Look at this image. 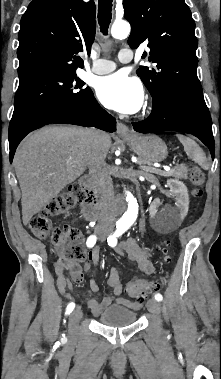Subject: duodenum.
I'll use <instances>...</instances> for the list:
<instances>
[{
    "mask_svg": "<svg viewBox=\"0 0 221 379\" xmlns=\"http://www.w3.org/2000/svg\"><path fill=\"white\" fill-rule=\"evenodd\" d=\"M80 186L85 191V199L82 202V212L87 220L95 221L101 215V205L97 200L90 178L83 177L80 180ZM123 208L124 201L119 199L116 203V209L121 211Z\"/></svg>",
    "mask_w": 221,
    "mask_h": 379,
    "instance_id": "duodenum-1",
    "label": "duodenum"
}]
</instances>
